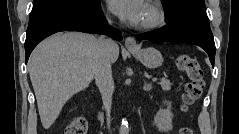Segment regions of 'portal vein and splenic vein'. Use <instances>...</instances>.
<instances>
[{"label":"portal vein and splenic vein","instance_id":"obj_1","mask_svg":"<svg viewBox=\"0 0 239 134\" xmlns=\"http://www.w3.org/2000/svg\"><path fill=\"white\" fill-rule=\"evenodd\" d=\"M152 80H153V81H157L158 79H157V78H153Z\"/></svg>","mask_w":239,"mask_h":134}]
</instances>
